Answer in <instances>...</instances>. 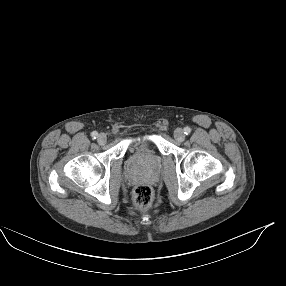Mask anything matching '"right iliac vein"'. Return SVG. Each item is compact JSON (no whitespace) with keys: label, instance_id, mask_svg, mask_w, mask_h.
I'll return each mask as SVG.
<instances>
[{"label":"right iliac vein","instance_id":"1","mask_svg":"<svg viewBox=\"0 0 286 286\" xmlns=\"http://www.w3.org/2000/svg\"><path fill=\"white\" fill-rule=\"evenodd\" d=\"M97 141L100 145H104L107 142V136L104 133H101L98 135Z\"/></svg>","mask_w":286,"mask_h":286}]
</instances>
